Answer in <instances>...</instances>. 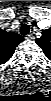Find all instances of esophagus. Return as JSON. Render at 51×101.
<instances>
[{"label": "esophagus", "mask_w": 51, "mask_h": 101, "mask_svg": "<svg viewBox=\"0 0 51 101\" xmlns=\"http://www.w3.org/2000/svg\"><path fill=\"white\" fill-rule=\"evenodd\" d=\"M25 38H26L27 40H31V39L34 38V35H33V33H30V34L26 35Z\"/></svg>", "instance_id": "1"}]
</instances>
